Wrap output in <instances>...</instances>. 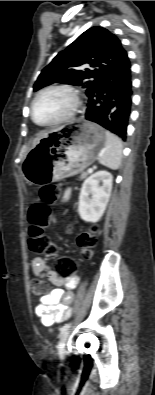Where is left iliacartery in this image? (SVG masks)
Here are the masks:
<instances>
[{"label": "left iliac artery", "mask_w": 155, "mask_h": 395, "mask_svg": "<svg viewBox=\"0 0 155 395\" xmlns=\"http://www.w3.org/2000/svg\"><path fill=\"white\" fill-rule=\"evenodd\" d=\"M71 326V323L65 324L62 328H61V334H63L64 332H66Z\"/></svg>", "instance_id": "44dca946"}]
</instances>
